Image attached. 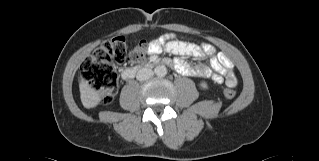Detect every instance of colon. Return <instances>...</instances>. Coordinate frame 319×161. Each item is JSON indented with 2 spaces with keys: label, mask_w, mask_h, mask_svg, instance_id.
Here are the masks:
<instances>
[{
  "label": "colon",
  "mask_w": 319,
  "mask_h": 161,
  "mask_svg": "<svg viewBox=\"0 0 319 161\" xmlns=\"http://www.w3.org/2000/svg\"><path fill=\"white\" fill-rule=\"evenodd\" d=\"M148 46L139 43L128 52L126 39L118 36L105 41L94 50L82 64V75L89 86L99 93L102 103H111L118 89V77L115 65L126 60L140 63L145 58ZM234 83L224 88L223 93L227 98L236 95Z\"/></svg>",
  "instance_id": "1"
}]
</instances>
